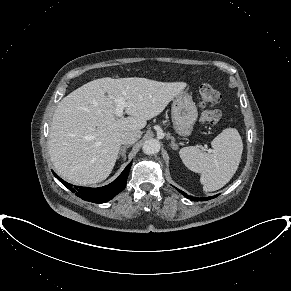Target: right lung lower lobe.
<instances>
[{
  "mask_svg": "<svg viewBox=\"0 0 291 291\" xmlns=\"http://www.w3.org/2000/svg\"><path fill=\"white\" fill-rule=\"evenodd\" d=\"M132 162H130L123 172L119 175V177L114 180L112 183L107 186H103L100 188H87V187H78L73 186L62 180L56 173L53 172L54 176L69 190L75 193L76 196L81 199L94 203H105L112 198H114L118 193L123 191L126 187V182L128 178V174L131 168Z\"/></svg>",
  "mask_w": 291,
  "mask_h": 291,
  "instance_id": "98d812e1",
  "label": "right lung lower lobe"
}]
</instances>
